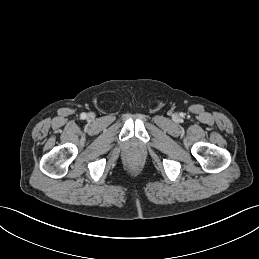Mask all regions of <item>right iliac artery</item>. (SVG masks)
Masks as SVG:
<instances>
[{"mask_svg": "<svg viewBox=\"0 0 259 259\" xmlns=\"http://www.w3.org/2000/svg\"><path fill=\"white\" fill-rule=\"evenodd\" d=\"M80 117H81V119H85V118H86V113H82V114L80 115Z\"/></svg>", "mask_w": 259, "mask_h": 259, "instance_id": "1", "label": "right iliac artery"}]
</instances>
